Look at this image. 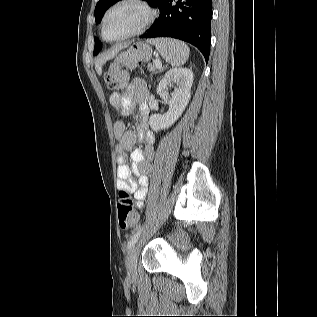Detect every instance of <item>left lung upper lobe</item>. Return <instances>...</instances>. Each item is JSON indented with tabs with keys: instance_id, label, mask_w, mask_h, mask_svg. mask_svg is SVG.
Returning <instances> with one entry per match:
<instances>
[{
	"instance_id": "5c2ea615",
	"label": "left lung upper lobe",
	"mask_w": 317,
	"mask_h": 317,
	"mask_svg": "<svg viewBox=\"0 0 317 317\" xmlns=\"http://www.w3.org/2000/svg\"><path fill=\"white\" fill-rule=\"evenodd\" d=\"M119 0H99L95 7V20L96 24L100 23L101 18L103 17V14L105 11L114 3H116ZM148 2V4L152 7H160L163 0H145ZM101 50V43L100 41L95 38V48H94V54H97Z\"/></svg>"
}]
</instances>
